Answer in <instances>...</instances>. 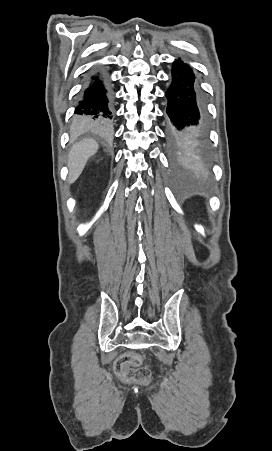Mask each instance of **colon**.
Here are the masks:
<instances>
[{"label":"colon","mask_w":272,"mask_h":451,"mask_svg":"<svg viewBox=\"0 0 272 451\" xmlns=\"http://www.w3.org/2000/svg\"><path fill=\"white\" fill-rule=\"evenodd\" d=\"M139 359L136 356L130 358H116L115 372L116 374H127L126 379L136 382H144L149 380L150 371L148 365H133L138 363Z\"/></svg>","instance_id":"colon-1"}]
</instances>
